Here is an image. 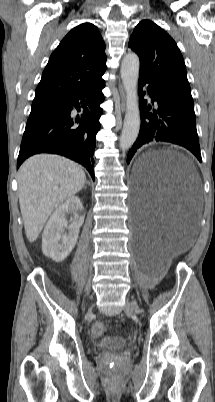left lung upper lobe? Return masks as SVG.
<instances>
[{"mask_svg": "<svg viewBox=\"0 0 215 402\" xmlns=\"http://www.w3.org/2000/svg\"><path fill=\"white\" fill-rule=\"evenodd\" d=\"M128 45L139 56L140 74L193 103L182 54L166 31L150 20H143L135 27Z\"/></svg>", "mask_w": 215, "mask_h": 402, "instance_id": "5c2ea615", "label": "left lung upper lobe"}]
</instances>
